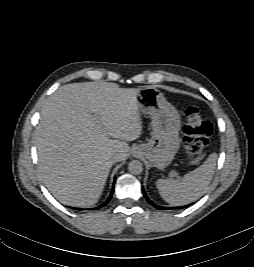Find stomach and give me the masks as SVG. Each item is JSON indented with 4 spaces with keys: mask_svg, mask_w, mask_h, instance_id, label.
Here are the masks:
<instances>
[{
    "mask_svg": "<svg viewBox=\"0 0 254 267\" xmlns=\"http://www.w3.org/2000/svg\"><path fill=\"white\" fill-rule=\"evenodd\" d=\"M137 101L141 112L150 115L153 133L148 143L136 148V153L144 157L151 166L163 170L172 163L180 148V114L153 87L140 89Z\"/></svg>",
    "mask_w": 254,
    "mask_h": 267,
    "instance_id": "obj_1",
    "label": "stomach"
}]
</instances>
